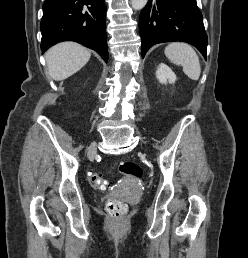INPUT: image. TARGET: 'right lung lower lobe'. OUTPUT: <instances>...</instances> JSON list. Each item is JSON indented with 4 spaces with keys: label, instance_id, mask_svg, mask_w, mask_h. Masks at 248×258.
<instances>
[{
    "label": "right lung lower lobe",
    "instance_id": "1",
    "mask_svg": "<svg viewBox=\"0 0 248 258\" xmlns=\"http://www.w3.org/2000/svg\"><path fill=\"white\" fill-rule=\"evenodd\" d=\"M105 0H45L40 24L41 49L76 41L108 60Z\"/></svg>",
    "mask_w": 248,
    "mask_h": 258
}]
</instances>
